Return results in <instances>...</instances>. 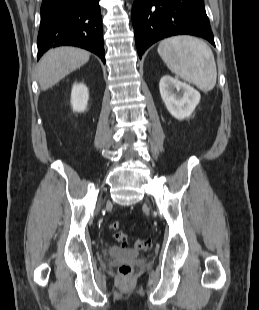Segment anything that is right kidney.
I'll return each instance as SVG.
<instances>
[{
  "instance_id": "obj_1",
  "label": "right kidney",
  "mask_w": 259,
  "mask_h": 310,
  "mask_svg": "<svg viewBox=\"0 0 259 310\" xmlns=\"http://www.w3.org/2000/svg\"><path fill=\"white\" fill-rule=\"evenodd\" d=\"M89 99L88 88L83 83H74L71 91V105L73 111L84 112Z\"/></svg>"
}]
</instances>
